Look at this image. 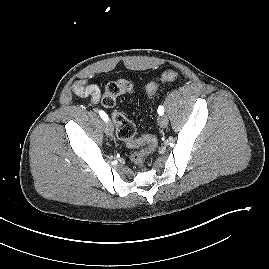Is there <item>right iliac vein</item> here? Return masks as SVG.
<instances>
[{
  "label": "right iliac vein",
  "mask_w": 269,
  "mask_h": 269,
  "mask_svg": "<svg viewBox=\"0 0 269 269\" xmlns=\"http://www.w3.org/2000/svg\"><path fill=\"white\" fill-rule=\"evenodd\" d=\"M104 130H105V133L108 135V136H112L113 135V125L111 122H106L104 124Z\"/></svg>",
  "instance_id": "obj_1"
}]
</instances>
